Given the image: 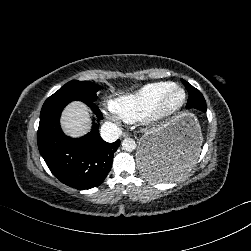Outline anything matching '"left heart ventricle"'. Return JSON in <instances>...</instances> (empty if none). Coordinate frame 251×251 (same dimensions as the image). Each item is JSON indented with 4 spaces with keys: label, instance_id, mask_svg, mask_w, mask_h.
I'll use <instances>...</instances> for the list:
<instances>
[{
    "label": "left heart ventricle",
    "instance_id": "obj_1",
    "mask_svg": "<svg viewBox=\"0 0 251 251\" xmlns=\"http://www.w3.org/2000/svg\"><path fill=\"white\" fill-rule=\"evenodd\" d=\"M169 92H170V96L163 108V112L165 114H170L175 112L179 106L181 105L182 101H183V94L182 92L169 87L168 88Z\"/></svg>",
    "mask_w": 251,
    "mask_h": 251
}]
</instances>
